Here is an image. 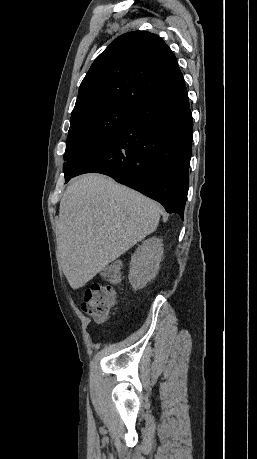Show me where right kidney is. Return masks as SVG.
<instances>
[{
	"label": "right kidney",
	"mask_w": 257,
	"mask_h": 459,
	"mask_svg": "<svg viewBox=\"0 0 257 459\" xmlns=\"http://www.w3.org/2000/svg\"><path fill=\"white\" fill-rule=\"evenodd\" d=\"M162 255V240L152 237L145 240L131 256L128 277L135 291L144 288L157 275Z\"/></svg>",
	"instance_id": "ca27d5eb"
}]
</instances>
